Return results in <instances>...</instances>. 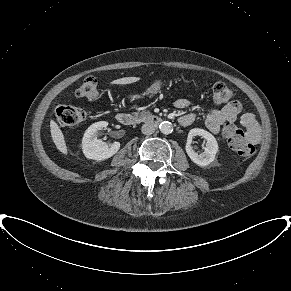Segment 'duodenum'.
Segmentation results:
<instances>
[{"label": "duodenum", "instance_id": "obj_1", "mask_svg": "<svg viewBox=\"0 0 291 291\" xmlns=\"http://www.w3.org/2000/svg\"><path fill=\"white\" fill-rule=\"evenodd\" d=\"M116 119L122 125H131L134 123V120H135L134 116H132L129 113H125V112L118 113L116 115ZM148 121H150L154 124H159L162 120H161V118H159L157 116H149Z\"/></svg>", "mask_w": 291, "mask_h": 291}]
</instances>
